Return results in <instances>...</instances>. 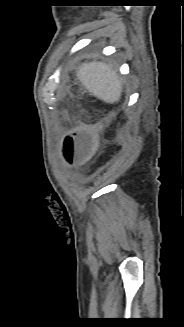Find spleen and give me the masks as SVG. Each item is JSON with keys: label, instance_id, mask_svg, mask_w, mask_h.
Instances as JSON below:
<instances>
[{"label": "spleen", "instance_id": "1", "mask_svg": "<svg viewBox=\"0 0 184 327\" xmlns=\"http://www.w3.org/2000/svg\"><path fill=\"white\" fill-rule=\"evenodd\" d=\"M77 77L95 97L107 103L119 101L122 84L117 72L109 65L101 62L84 63L78 68Z\"/></svg>", "mask_w": 184, "mask_h": 327}]
</instances>
